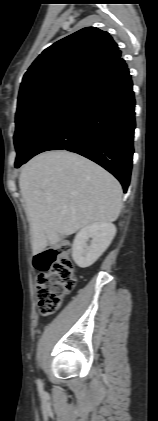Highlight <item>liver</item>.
Wrapping results in <instances>:
<instances>
[{"instance_id": "liver-1", "label": "liver", "mask_w": 158, "mask_h": 421, "mask_svg": "<svg viewBox=\"0 0 158 421\" xmlns=\"http://www.w3.org/2000/svg\"><path fill=\"white\" fill-rule=\"evenodd\" d=\"M20 191L34 254L97 222H113L122 207V187L106 170L66 150L41 153L22 168Z\"/></svg>"}]
</instances>
